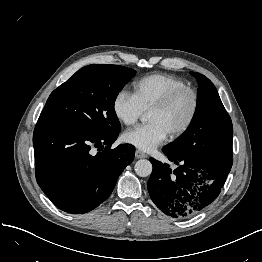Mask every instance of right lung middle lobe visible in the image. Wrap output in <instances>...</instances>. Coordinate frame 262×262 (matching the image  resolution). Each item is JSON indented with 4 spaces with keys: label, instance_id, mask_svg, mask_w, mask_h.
Here are the masks:
<instances>
[{
    "label": "right lung middle lobe",
    "instance_id": "dd1d6c3e",
    "mask_svg": "<svg viewBox=\"0 0 262 262\" xmlns=\"http://www.w3.org/2000/svg\"><path fill=\"white\" fill-rule=\"evenodd\" d=\"M134 76L133 69L118 65L83 67L51 93L39 118L62 120L101 134L119 131L114 103Z\"/></svg>",
    "mask_w": 262,
    "mask_h": 262
}]
</instances>
